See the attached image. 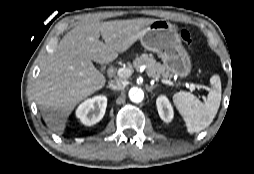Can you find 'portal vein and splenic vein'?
Returning a JSON list of instances; mask_svg holds the SVG:
<instances>
[{
  "instance_id": "1",
  "label": "portal vein and splenic vein",
  "mask_w": 254,
  "mask_h": 174,
  "mask_svg": "<svg viewBox=\"0 0 254 174\" xmlns=\"http://www.w3.org/2000/svg\"><path fill=\"white\" fill-rule=\"evenodd\" d=\"M132 73H133V71L130 68H119L116 71L117 76H119L120 78H127V77L131 76ZM162 82L167 84V85H170V86L174 85V83L170 80L162 79ZM190 89L192 91H195L196 86L194 84H191Z\"/></svg>"
}]
</instances>
